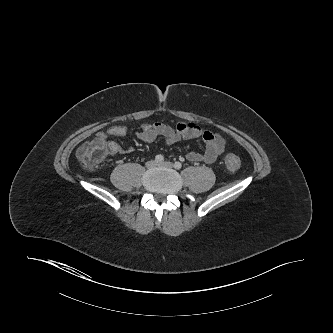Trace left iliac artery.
I'll return each mask as SVG.
<instances>
[{"instance_id": "1", "label": "left iliac artery", "mask_w": 333, "mask_h": 333, "mask_svg": "<svg viewBox=\"0 0 333 333\" xmlns=\"http://www.w3.org/2000/svg\"><path fill=\"white\" fill-rule=\"evenodd\" d=\"M174 168L179 170V169L182 168V164L177 161V162L174 163Z\"/></svg>"}]
</instances>
